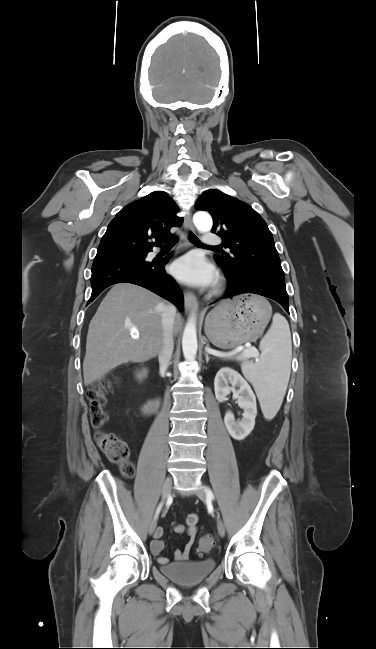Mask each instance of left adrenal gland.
Instances as JSON below:
<instances>
[{"instance_id":"a2214340","label":"left adrenal gland","mask_w":376,"mask_h":649,"mask_svg":"<svg viewBox=\"0 0 376 649\" xmlns=\"http://www.w3.org/2000/svg\"><path fill=\"white\" fill-rule=\"evenodd\" d=\"M205 359H206V363H208L210 358L207 351L205 352Z\"/></svg>"}]
</instances>
